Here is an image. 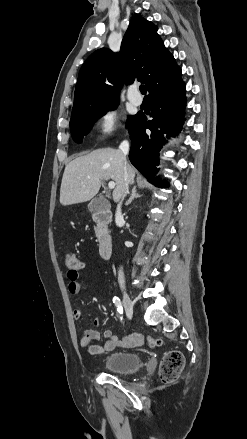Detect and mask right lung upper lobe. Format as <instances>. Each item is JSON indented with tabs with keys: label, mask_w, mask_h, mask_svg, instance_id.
Returning a JSON list of instances; mask_svg holds the SVG:
<instances>
[{
	"label": "right lung upper lobe",
	"mask_w": 247,
	"mask_h": 439,
	"mask_svg": "<svg viewBox=\"0 0 247 439\" xmlns=\"http://www.w3.org/2000/svg\"><path fill=\"white\" fill-rule=\"evenodd\" d=\"M181 69L157 34V26L134 17L119 53L108 48L93 52L82 65L75 88L72 116L119 101L123 83L147 85L149 97L181 79Z\"/></svg>",
	"instance_id": "1"
}]
</instances>
